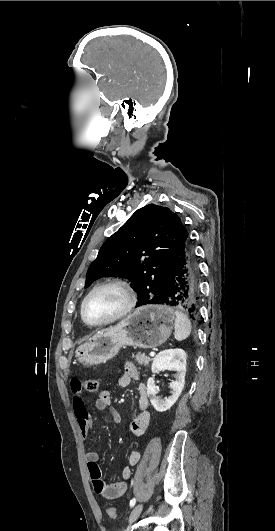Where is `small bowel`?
Wrapping results in <instances>:
<instances>
[{
	"mask_svg": "<svg viewBox=\"0 0 275 531\" xmlns=\"http://www.w3.org/2000/svg\"><path fill=\"white\" fill-rule=\"evenodd\" d=\"M140 375L137 368L132 363H126L123 374L119 377L117 385L120 388H125L130 385L132 380H139ZM68 382L71 384L69 390L73 397H78L83 390H78L76 384L81 382V375L79 373H70L68 375ZM112 392L110 390H101L96 399V408L98 410L109 409L111 419L118 423L121 421L119 411L111 407ZM139 412L134 420L131 422L130 430L133 436L143 437L149 433L151 426V413L149 411V398L146 387L143 383L139 385L138 397ZM73 411L78 419V425L83 437H87L93 428L92 420L90 419L84 400L73 401ZM141 454L137 450H131L127 455V464L122 468V480L113 484H106L102 479L101 469L98 464L99 453L95 450L87 451L85 460L89 477L96 494L107 500H113L121 497L127 491V481L132 475L131 466H135L140 460Z\"/></svg>",
	"mask_w": 275,
	"mask_h": 531,
	"instance_id": "obj_1",
	"label": "small bowel"
}]
</instances>
